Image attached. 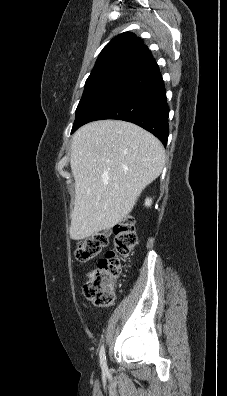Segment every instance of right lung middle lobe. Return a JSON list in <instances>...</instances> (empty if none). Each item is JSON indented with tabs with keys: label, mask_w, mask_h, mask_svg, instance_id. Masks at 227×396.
<instances>
[{
	"label": "right lung middle lobe",
	"mask_w": 227,
	"mask_h": 396,
	"mask_svg": "<svg viewBox=\"0 0 227 396\" xmlns=\"http://www.w3.org/2000/svg\"><path fill=\"white\" fill-rule=\"evenodd\" d=\"M132 72L128 69L115 68L90 74L76 110L72 133L80 125L84 117Z\"/></svg>",
	"instance_id": "1"
}]
</instances>
